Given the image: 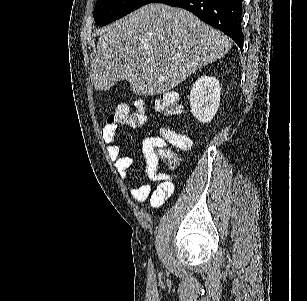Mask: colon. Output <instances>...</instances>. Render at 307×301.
<instances>
[{"label":"colon","instance_id":"colon-1","mask_svg":"<svg viewBox=\"0 0 307 301\" xmlns=\"http://www.w3.org/2000/svg\"><path fill=\"white\" fill-rule=\"evenodd\" d=\"M154 108L165 116H172L181 113L182 106L178 95L174 92H165L154 101ZM147 120L146 110L142 103H137L135 111L129 113L125 105L118 106L107 118V124H124L134 129L142 128ZM163 144L156 149L157 156L163 160L166 167L175 171L180 164L179 155L166 146L169 144L177 149H187L191 146L190 137L182 132L172 129H163L160 136Z\"/></svg>","mask_w":307,"mask_h":301}]
</instances>
